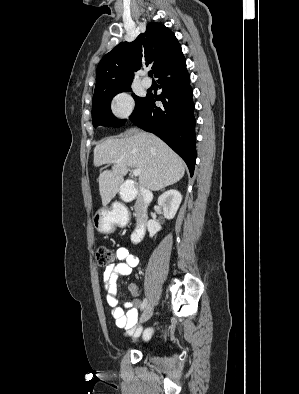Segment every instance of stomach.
Returning <instances> with one entry per match:
<instances>
[{
    "instance_id": "0dacf381",
    "label": "stomach",
    "mask_w": 299,
    "mask_h": 394,
    "mask_svg": "<svg viewBox=\"0 0 299 394\" xmlns=\"http://www.w3.org/2000/svg\"><path fill=\"white\" fill-rule=\"evenodd\" d=\"M116 222V212L108 208L99 209L93 216V226L104 234L111 233Z\"/></svg>"
}]
</instances>
